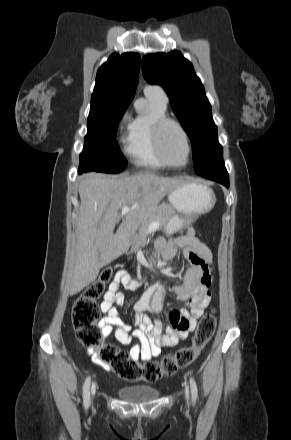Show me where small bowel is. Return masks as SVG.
I'll return each instance as SVG.
<instances>
[{
  "instance_id": "obj_1",
  "label": "small bowel",
  "mask_w": 291,
  "mask_h": 440,
  "mask_svg": "<svg viewBox=\"0 0 291 440\" xmlns=\"http://www.w3.org/2000/svg\"><path fill=\"white\" fill-rule=\"evenodd\" d=\"M179 249L183 250L190 266L185 272L184 282L176 286L174 291L180 299L188 301L190 309L169 312V318L175 317L178 320L172 328L165 327L159 321L152 322L144 314V310L150 303L149 295H144L135 306L136 329L130 332V326L121 320L118 310L113 306L124 302V295L119 291L120 285L128 289H136L139 286L137 281L130 280L125 271H119L116 274L104 295L101 303L104 316L98 323L102 335L108 337L113 334L120 343L125 345L130 344L133 337L137 338L138 344L133 345L129 351L134 361H148L160 355L163 347L178 345L180 340L195 331L198 319L209 303L210 296L206 288L214 270L211 250L195 237L191 228H187L182 236L171 237L168 240L158 239L155 243V253L168 260L172 259ZM183 319L189 320L190 323L183 324ZM92 360L105 370H110V366L98 361L95 355H92Z\"/></svg>"
}]
</instances>
